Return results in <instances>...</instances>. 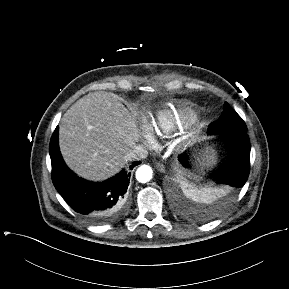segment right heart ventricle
I'll return each mask as SVG.
<instances>
[{"mask_svg":"<svg viewBox=\"0 0 289 289\" xmlns=\"http://www.w3.org/2000/svg\"><path fill=\"white\" fill-rule=\"evenodd\" d=\"M194 121L192 113L184 110H165L158 113L151 124L152 134L160 137L171 136Z\"/></svg>","mask_w":289,"mask_h":289,"instance_id":"e07e8e85","label":"right heart ventricle"}]
</instances>
